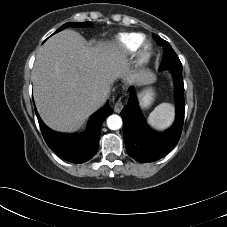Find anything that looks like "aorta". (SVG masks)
<instances>
[{
	"label": "aorta",
	"mask_w": 227,
	"mask_h": 227,
	"mask_svg": "<svg viewBox=\"0 0 227 227\" xmlns=\"http://www.w3.org/2000/svg\"><path fill=\"white\" fill-rule=\"evenodd\" d=\"M107 126L111 130H118L122 127V119L119 115L113 114L107 118Z\"/></svg>",
	"instance_id": "obj_1"
}]
</instances>
